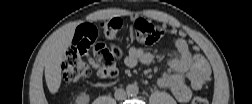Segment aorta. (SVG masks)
Returning <instances> with one entry per match:
<instances>
[{
	"label": "aorta",
	"mask_w": 252,
	"mask_h": 104,
	"mask_svg": "<svg viewBox=\"0 0 252 104\" xmlns=\"http://www.w3.org/2000/svg\"><path fill=\"white\" fill-rule=\"evenodd\" d=\"M126 93L129 96H136L139 93V87L136 84H129L126 87Z\"/></svg>",
	"instance_id": "762f6f07"
}]
</instances>
